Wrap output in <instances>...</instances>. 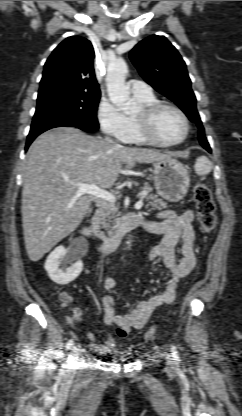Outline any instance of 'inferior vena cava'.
<instances>
[{"label":"inferior vena cava","mask_w":242,"mask_h":416,"mask_svg":"<svg viewBox=\"0 0 242 416\" xmlns=\"http://www.w3.org/2000/svg\"><path fill=\"white\" fill-rule=\"evenodd\" d=\"M105 141L108 142V143H113V141L109 137H106Z\"/></svg>","instance_id":"inferior-vena-cava-1"}]
</instances>
